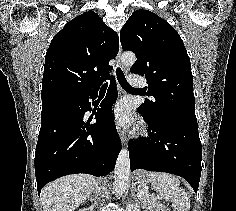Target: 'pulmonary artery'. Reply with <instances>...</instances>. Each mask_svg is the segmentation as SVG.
I'll return each instance as SVG.
<instances>
[{"label":"pulmonary artery","instance_id":"1","mask_svg":"<svg viewBox=\"0 0 236 211\" xmlns=\"http://www.w3.org/2000/svg\"><path fill=\"white\" fill-rule=\"evenodd\" d=\"M130 84L136 87H144L146 85V80L144 78L138 77L136 74L130 75Z\"/></svg>","mask_w":236,"mask_h":211}]
</instances>
